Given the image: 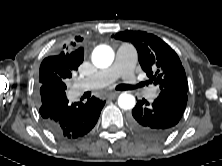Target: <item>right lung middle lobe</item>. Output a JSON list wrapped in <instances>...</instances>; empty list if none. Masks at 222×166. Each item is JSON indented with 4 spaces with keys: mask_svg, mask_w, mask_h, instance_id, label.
<instances>
[{
    "mask_svg": "<svg viewBox=\"0 0 222 166\" xmlns=\"http://www.w3.org/2000/svg\"><path fill=\"white\" fill-rule=\"evenodd\" d=\"M72 76V72H62L59 74L53 73V72H41L39 75V82L40 84L43 83H51L54 85H57L63 89H66L65 81L66 79L70 78Z\"/></svg>",
    "mask_w": 222,
    "mask_h": 166,
    "instance_id": "obj_1",
    "label": "right lung middle lobe"
}]
</instances>
